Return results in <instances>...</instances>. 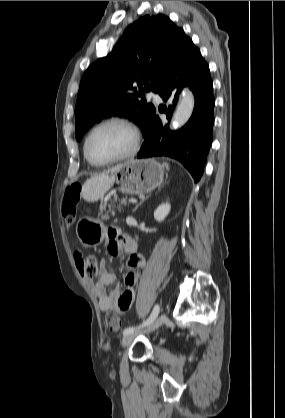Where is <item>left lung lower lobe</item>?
Wrapping results in <instances>:
<instances>
[{"label":"left lung lower lobe","mask_w":285,"mask_h":418,"mask_svg":"<svg viewBox=\"0 0 285 418\" xmlns=\"http://www.w3.org/2000/svg\"><path fill=\"white\" fill-rule=\"evenodd\" d=\"M189 86L195 97V106L188 123L179 131H170L168 124L154 115L137 158L168 156L180 161L199 181L213 139L214 95L209 66L192 40L184 36L175 56L166 69L158 94L172 105L159 108L170 120L177 103L178 93ZM156 113V112H155Z\"/></svg>","instance_id":"1"}]
</instances>
